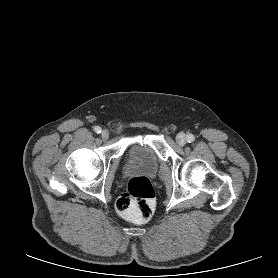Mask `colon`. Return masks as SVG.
<instances>
[{
    "instance_id": "5ec220e1",
    "label": "colon",
    "mask_w": 278,
    "mask_h": 278,
    "mask_svg": "<svg viewBox=\"0 0 278 278\" xmlns=\"http://www.w3.org/2000/svg\"><path fill=\"white\" fill-rule=\"evenodd\" d=\"M155 193L151 182L146 177H134L116 200L117 212L134 222L148 221L153 214Z\"/></svg>"
}]
</instances>
